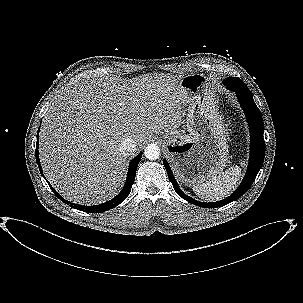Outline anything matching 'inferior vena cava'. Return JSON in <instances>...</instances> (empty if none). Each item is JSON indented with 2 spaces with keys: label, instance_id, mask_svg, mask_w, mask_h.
<instances>
[{
  "label": "inferior vena cava",
  "instance_id": "inferior-vena-cava-1",
  "mask_svg": "<svg viewBox=\"0 0 303 303\" xmlns=\"http://www.w3.org/2000/svg\"><path fill=\"white\" fill-rule=\"evenodd\" d=\"M119 148L123 154L130 155L136 149V141L132 138H125L120 143Z\"/></svg>",
  "mask_w": 303,
  "mask_h": 303
}]
</instances>
